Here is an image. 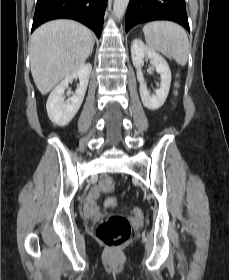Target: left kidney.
<instances>
[{
  "label": "left kidney",
  "mask_w": 229,
  "mask_h": 280,
  "mask_svg": "<svg viewBox=\"0 0 229 280\" xmlns=\"http://www.w3.org/2000/svg\"><path fill=\"white\" fill-rule=\"evenodd\" d=\"M131 57L137 70V80L140 84L139 89L143 105L150 110L159 109L166 101L171 85V71L167 61L160 54L147 47L140 39H135L132 42ZM145 58L150 60L161 77L160 88L153 95H150L142 73Z\"/></svg>",
  "instance_id": "1"
}]
</instances>
